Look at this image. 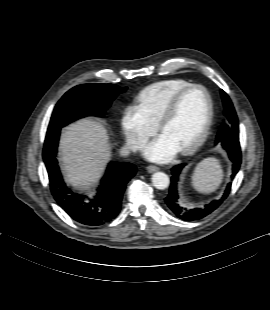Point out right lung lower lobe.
Returning a JSON list of instances; mask_svg holds the SVG:
<instances>
[{
  "mask_svg": "<svg viewBox=\"0 0 270 310\" xmlns=\"http://www.w3.org/2000/svg\"><path fill=\"white\" fill-rule=\"evenodd\" d=\"M61 127H48L43 159L48 171L49 185L57 203L75 221L98 226L117 216L127 182L135 175L136 166L126 162H111L108 165L95 199L73 192L63 181L56 160V150Z\"/></svg>",
  "mask_w": 270,
  "mask_h": 310,
  "instance_id": "1",
  "label": "right lung lower lobe"
}]
</instances>
